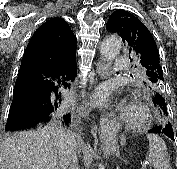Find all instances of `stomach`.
<instances>
[{"label":"stomach","instance_id":"stomach-1","mask_svg":"<svg viewBox=\"0 0 177 169\" xmlns=\"http://www.w3.org/2000/svg\"><path fill=\"white\" fill-rule=\"evenodd\" d=\"M104 149L107 152V154H109V155H113L117 151L116 146L112 143H105Z\"/></svg>","mask_w":177,"mask_h":169}]
</instances>
